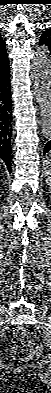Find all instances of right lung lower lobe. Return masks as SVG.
<instances>
[{
    "mask_svg": "<svg viewBox=\"0 0 51 393\" xmlns=\"http://www.w3.org/2000/svg\"><path fill=\"white\" fill-rule=\"evenodd\" d=\"M10 68L0 74V158L11 173L12 100Z\"/></svg>",
    "mask_w": 51,
    "mask_h": 393,
    "instance_id": "obj_1",
    "label": "right lung lower lobe"
}]
</instances>
